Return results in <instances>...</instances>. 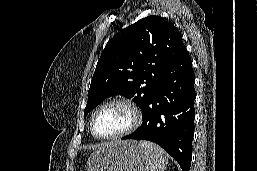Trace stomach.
<instances>
[{
  "mask_svg": "<svg viewBox=\"0 0 257 171\" xmlns=\"http://www.w3.org/2000/svg\"><path fill=\"white\" fill-rule=\"evenodd\" d=\"M147 155L135 140L118 141L94 151L87 171H145Z\"/></svg>",
  "mask_w": 257,
  "mask_h": 171,
  "instance_id": "1",
  "label": "stomach"
}]
</instances>
